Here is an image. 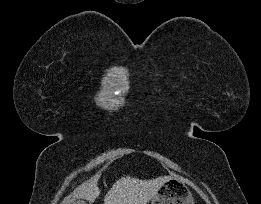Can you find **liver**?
I'll use <instances>...</instances> for the list:
<instances>
[{"label": "liver", "mask_w": 261, "mask_h": 204, "mask_svg": "<svg viewBox=\"0 0 261 204\" xmlns=\"http://www.w3.org/2000/svg\"><path fill=\"white\" fill-rule=\"evenodd\" d=\"M170 179L169 176H161L151 180H139L126 176L117 180L104 197V204H147L158 190ZM98 178L80 186L66 204H71L76 199H86L94 202L99 196L97 186Z\"/></svg>", "instance_id": "6515ba94"}]
</instances>
